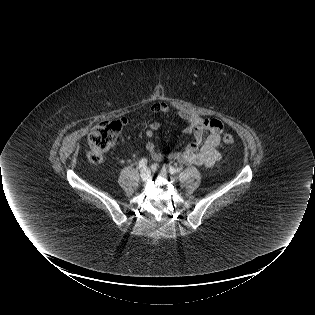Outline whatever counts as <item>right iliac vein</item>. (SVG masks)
<instances>
[{
    "instance_id": "63e3f726",
    "label": "right iliac vein",
    "mask_w": 315,
    "mask_h": 315,
    "mask_svg": "<svg viewBox=\"0 0 315 315\" xmlns=\"http://www.w3.org/2000/svg\"><path fill=\"white\" fill-rule=\"evenodd\" d=\"M150 176H151V171H150V169H148V168H146V167L141 169V171H140V177H141L142 180H147V179L150 178Z\"/></svg>"
}]
</instances>
